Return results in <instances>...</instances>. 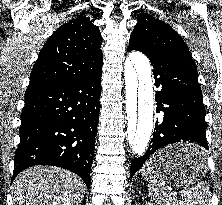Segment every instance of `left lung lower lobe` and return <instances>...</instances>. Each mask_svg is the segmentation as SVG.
Listing matches in <instances>:
<instances>
[{"label":"left lung lower lobe","mask_w":222,"mask_h":205,"mask_svg":"<svg viewBox=\"0 0 222 205\" xmlns=\"http://www.w3.org/2000/svg\"><path fill=\"white\" fill-rule=\"evenodd\" d=\"M132 50L142 51L151 61L155 85L161 88L155 94L156 111H163L164 117L156 122L146 153L131 161V177L157 149L171 143L189 141L202 147L178 152L170 159L172 164L192 166L203 162L206 158L203 148L208 149L206 111L194 62L180 54L147 52L129 44L128 51Z\"/></svg>","instance_id":"1"}]
</instances>
